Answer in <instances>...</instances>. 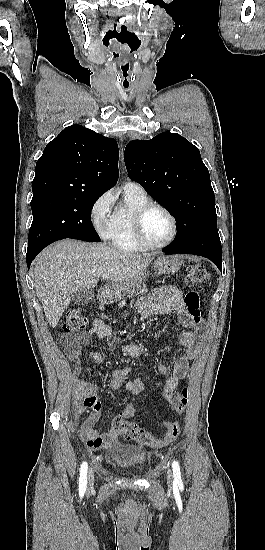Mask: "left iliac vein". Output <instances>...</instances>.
Masks as SVG:
<instances>
[{"mask_svg": "<svg viewBox=\"0 0 265 550\" xmlns=\"http://www.w3.org/2000/svg\"><path fill=\"white\" fill-rule=\"evenodd\" d=\"M167 479H168L169 484L173 483V474L170 470L167 472Z\"/></svg>", "mask_w": 265, "mask_h": 550, "instance_id": "1", "label": "left iliac vein"}]
</instances>
